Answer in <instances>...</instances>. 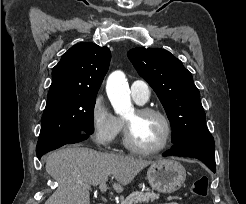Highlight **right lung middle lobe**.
I'll use <instances>...</instances> for the list:
<instances>
[{"instance_id":"1","label":"right lung middle lobe","mask_w":246,"mask_h":204,"mask_svg":"<svg viewBox=\"0 0 246 204\" xmlns=\"http://www.w3.org/2000/svg\"><path fill=\"white\" fill-rule=\"evenodd\" d=\"M95 102L96 94L47 101L36 147L37 156L57 149L79 135L92 134Z\"/></svg>"}]
</instances>
